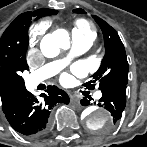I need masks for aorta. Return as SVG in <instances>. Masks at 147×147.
<instances>
[{
	"label": "aorta",
	"mask_w": 147,
	"mask_h": 147,
	"mask_svg": "<svg viewBox=\"0 0 147 147\" xmlns=\"http://www.w3.org/2000/svg\"><path fill=\"white\" fill-rule=\"evenodd\" d=\"M69 39L67 31L62 29L45 35L40 44L43 55L47 58L58 56L61 48H69ZM82 117L91 130H104L112 124V116L104 108L88 107L82 112Z\"/></svg>",
	"instance_id": "1"
}]
</instances>
